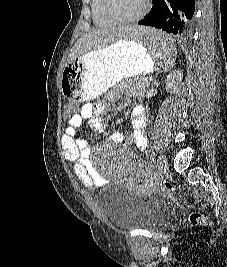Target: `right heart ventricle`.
I'll return each mask as SVG.
<instances>
[{"mask_svg":"<svg viewBox=\"0 0 227 267\" xmlns=\"http://www.w3.org/2000/svg\"><path fill=\"white\" fill-rule=\"evenodd\" d=\"M91 10L93 20L96 24L101 26H109L115 24L104 12L103 0H91Z\"/></svg>","mask_w":227,"mask_h":267,"instance_id":"e07e8e85","label":"right heart ventricle"}]
</instances>
